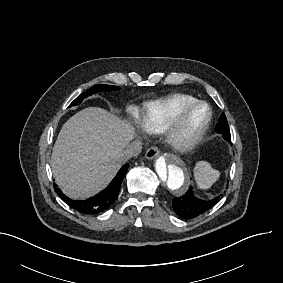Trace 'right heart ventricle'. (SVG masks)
<instances>
[{"label": "right heart ventricle", "mask_w": 283, "mask_h": 283, "mask_svg": "<svg viewBox=\"0 0 283 283\" xmlns=\"http://www.w3.org/2000/svg\"><path fill=\"white\" fill-rule=\"evenodd\" d=\"M168 99H173L178 102V106L182 107L190 102L197 101L193 95L189 94H174ZM167 100V99H166ZM162 102H151L145 104L139 110V115L147 129L153 134H160L161 129V115H162ZM180 111L179 108H175Z\"/></svg>", "instance_id": "right-heart-ventricle-1"}]
</instances>
